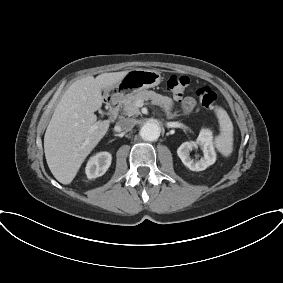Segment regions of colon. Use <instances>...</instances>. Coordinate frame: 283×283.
I'll return each mask as SVG.
<instances>
[{"label": "colon", "mask_w": 283, "mask_h": 283, "mask_svg": "<svg viewBox=\"0 0 283 283\" xmlns=\"http://www.w3.org/2000/svg\"><path fill=\"white\" fill-rule=\"evenodd\" d=\"M190 80L186 76H171L167 81L168 90L175 96H182L188 89ZM196 96L201 105L206 109H213L217 100L216 93L209 87L203 86L196 89Z\"/></svg>", "instance_id": "1"}]
</instances>
